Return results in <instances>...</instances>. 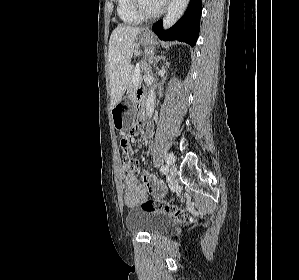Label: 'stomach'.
Segmentation results:
<instances>
[{
    "label": "stomach",
    "mask_w": 299,
    "mask_h": 280,
    "mask_svg": "<svg viewBox=\"0 0 299 280\" xmlns=\"http://www.w3.org/2000/svg\"><path fill=\"white\" fill-rule=\"evenodd\" d=\"M139 43L145 47L155 43L154 35L150 31H144L139 36ZM131 99L124 97L112 110L113 124L116 129H126L132 123Z\"/></svg>",
    "instance_id": "0dacf381"
}]
</instances>
